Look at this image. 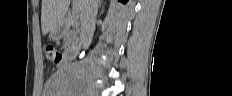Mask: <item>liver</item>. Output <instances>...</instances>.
<instances>
[{
	"mask_svg": "<svg viewBox=\"0 0 232 96\" xmlns=\"http://www.w3.org/2000/svg\"><path fill=\"white\" fill-rule=\"evenodd\" d=\"M70 4V0H42L41 27L42 33L47 34L57 29L62 22ZM81 8V0H78Z\"/></svg>",
	"mask_w": 232,
	"mask_h": 96,
	"instance_id": "liver-1",
	"label": "liver"
}]
</instances>
